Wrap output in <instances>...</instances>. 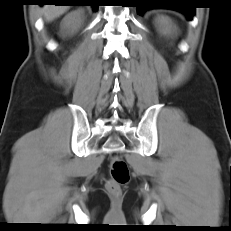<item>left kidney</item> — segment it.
<instances>
[{
  "instance_id": "left-kidney-1",
  "label": "left kidney",
  "mask_w": 231,
  "mask_h": 231,
  "mask_svg": "<svg viewBox=\"0 0 231 231\" xmlns=\"http://www.w3.org/2000/svg\"><path fill=\"white\" fill-rule=\"evenodd\" d=\"M156 23L158 25L159 32L163 35L169 36L175 33L176 31V28L173 25L172 21L166 16L161 15L157 17Z\"/></svg>"
}]
</instances>
